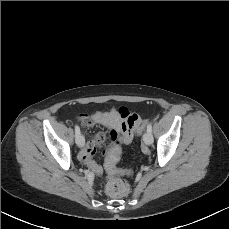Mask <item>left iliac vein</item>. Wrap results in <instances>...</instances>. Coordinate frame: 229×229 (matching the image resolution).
Listing matches in <instances>:
<instances>
[{"label":"left iliac vein","instance_id":"4c4485c4","mask_svg":"<svg viewBox=\"0 0 229 229\" xmlns=\"http://www.w3.org/2000/svg\"><path fill=\"white\" fill-rule=\"evenodd\" d=\"M143 141L146 145H151L153 143V136H152L151 132L146 131L143 134Z\"/></svg>","mask_w":229,"mask_h":229}]
</instances>
